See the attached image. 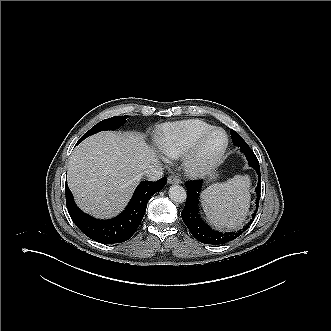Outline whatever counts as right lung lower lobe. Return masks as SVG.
Masks as SVG:
<instances>
[{"instance_id": "98d812e1", "label": "right lung lower lobe", "mask_w": 331, "mask_h": 331, "mask_svg": "<svg viewBox=\"0 0 331 331\" xmlns=\"http://www.w3.org/2000/svg\"><path fill=\"white\" fill-rule=\"evenodd\" d=\"M166 182V177L156 182H141L126 209L119 216L109 220L95 219L83 213L74 203L72 193L66 184L68 212L75 225L92 240L104 244L121 243L132 237L143 219L148 200L160 191Z\"/></svg>"}]
</instances>
